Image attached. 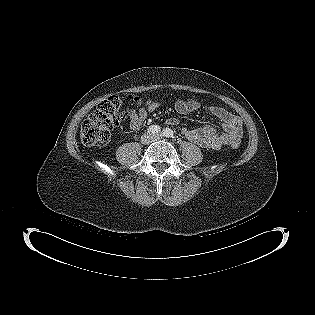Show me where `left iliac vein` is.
Returning <instances> with one entry per match:
<instances>
[{
    "label": "left iliac vein",
    "mask_w": 315,
    "mask_h": 315,
    "mask_svg": "<svg viewBox=\"0 0 315 315\" xmlns=\"http://www.w3.org/2000/svg\"><path fill=\"white\" fill-rule=\"evenodd\" d=\"M162 137L160 135H155L152 137V141L160 140Z\"/></svg>",
    "instance_id": "4c4485c4"
}]
</instances>
